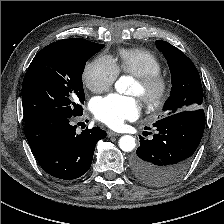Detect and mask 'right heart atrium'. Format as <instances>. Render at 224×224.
I'll return each instance as SVG.
<instances>
[{"label":"right heart atrium","mask_w":224,"mask_h":224,"mask_svg":"<svg viewBox=\"0 0 224 224\" xmlns=\"http://www.w3.org/2000/svg\"><path fill=\"white\" fill-rule=\"evenodd\" d=\"M118 69L114 61L100 56L90 61L83 71V82L93 93L107 91L116 81Z\"/></svg>","instance_id":"1"}]
</instances>
